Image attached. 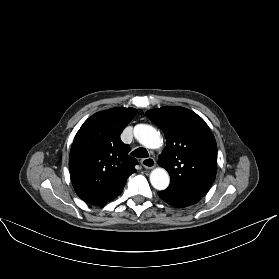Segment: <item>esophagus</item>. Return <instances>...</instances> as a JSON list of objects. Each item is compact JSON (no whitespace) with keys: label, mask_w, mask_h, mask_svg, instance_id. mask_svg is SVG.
<instances>
[{"label":"esophagus","mask_w":279,"mask_h":279,"mask_svg":"<svg viewBox=\"0 0 279 279\" xmlns=\"http://www.w3.org/2000/svg\"><path fill=\"white\" fill-rule=\"evenodd\" d=\"M141 164L146 169H152L156 166V162L152 157L142 159Z\"/></svg>","instance_id":"34e87169"}]
</instances>
